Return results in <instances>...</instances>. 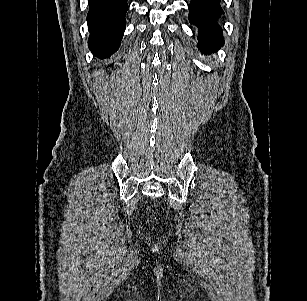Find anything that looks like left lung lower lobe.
Returning <instances> with one entry per match:
<instances>
[{
	"label": "left lung lower lobe",
	"mask_w": 307,
	"mask_h": 301,
	"mask_svg": "<svg viewBox=\"0 0 307 301\" xmlns=\"http://www.w3.org/2000/svg\"><path fill=\"white\" fill-rule=\"evenodd\" d=\"M189 22L198 27V48L205 54L218 51L224 45L218 19L224 14L220 0H191Z\"/></svg>",
	"instance_id": "left-lung-lower-lobe-1"
}]
</instances>
